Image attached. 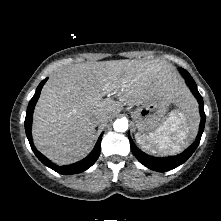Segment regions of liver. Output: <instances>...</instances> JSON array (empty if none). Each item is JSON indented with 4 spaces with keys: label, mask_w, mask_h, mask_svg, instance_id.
<instances>
[{
    "label": "liver",
    "mask_w": 221,
    "mask_h": 221,
    "mask_svg": "<svg viewBox=\"0 0 221 221\" xmlns=\"http://www.w3.org/2000/svg\"><path fill=\"white\" fill-rule=\"evenodd\" d=\"M107 94L117 101L103 99ZM155 96H167L182 109L193 103L166 62L112 60L60 68L49 77L36 104L34 144L58 165L75 163L93 148L97 115H105L108 121L124 105L139 106Z\"/></svg>",
    "instance_id": "6515ba94"
}]
</instances>
